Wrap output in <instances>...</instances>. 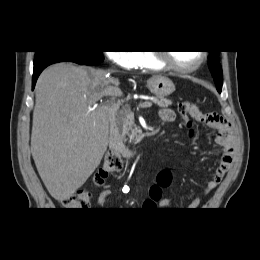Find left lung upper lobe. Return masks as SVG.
I'll return each instance as SVG.
<instances>
[{
    "mask_svg": "<svg viewBox=\"0 0 260 260\" xmlns=\"http://www.w3.org/2000/svg\"><path fill=\"white\" fill-rule=\"evenodd\" d=\"M208 65L216 83L217 90L220 93L222 89L223 78L222 68L219 63L218 51H209Z\"/></svg>",
    "mask_w": 260,
    "mask_h": 260,
    "instance_id": "1",
    "label": "left lung upper lobe"
}]
</instances>
